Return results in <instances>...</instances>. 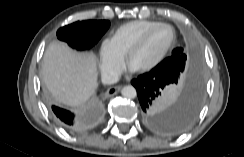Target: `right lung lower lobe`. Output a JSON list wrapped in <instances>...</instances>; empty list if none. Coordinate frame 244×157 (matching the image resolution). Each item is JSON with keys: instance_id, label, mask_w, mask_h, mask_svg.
Returning a JSON list of instances; mask_svg holds the SVG:
<instances>
[{"instance_id": "1", "label": "right lung lower lobe", "mask_w": 244, "mask_h": 157, "mask_svg": "<svg viewBox=\"0 0 244 157\" xmlns=\"http://www.w3.org/2000/svg\"><path fill=\"white\" fill-rule=\"evenodd\" d=\"M52 111L57 121L68 131L78 133L85 130V121L81 116L56 106H52Z\"/></svg>"}]
</instances>
